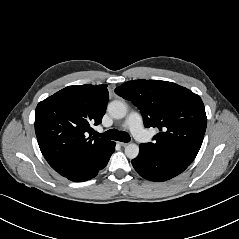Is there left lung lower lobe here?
I'll list each match as a JSON object with an SVG mask.
<instances>
[{
  "instance_id": "1",
  "label": "left lung lower lobe",
  "mask_w": 239,
  "mask_h": 239,
  "mask_svg": "<svg viewBox=\"0 0 239 239\" xmlns=\"http://www.w3.org/2000/svg\"><path fill=\"white\" fill-rule=\"evenodd\" d=\"M132 165L140 176L151 181L169 180L188 167L155 152L148 151L141 145L139 155L132 160Z\"/></svg>"
}]
</instances>
